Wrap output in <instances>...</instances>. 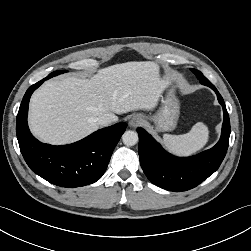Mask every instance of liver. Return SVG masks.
<instances>
[{
	"instance_id": "6515ba94",
	"label": "liver",
	"mask_w": 251,
	"mask_h": 251,
	"mask_svg": "<svg viewBox=\"0 0 251 251\" xmlns=\"http://www.w3.org/2000/svg\"><path fill=\"white\" fill-rule=\"evenodd\" d=\"M170 83L150 61L102 68L90 79L48 81L31 97L30 129L43 142L71 143L96 131L100 116L117 121L115 114L152 110Z\"/></svg>"
}]
</instances>
